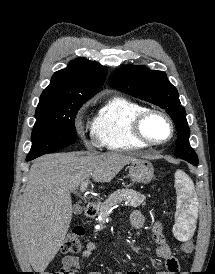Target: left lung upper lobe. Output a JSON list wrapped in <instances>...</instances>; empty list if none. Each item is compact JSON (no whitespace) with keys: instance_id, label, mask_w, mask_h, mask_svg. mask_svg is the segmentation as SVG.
Here are the masks:
<instances>
[{"instance_id":"left-lung-upper-lobe-1","label":"left lung upper lobe","mask_w":215,"mask_h":274,"mask_svg":"<svg viewBox=\"0 0 215 274\" xmlns=\"http://www.w3.org/2000/svg\"><path fill=\"white\" fill-rule=\"evenodd\" d=\"M109 84L112 88L166 109L177 128L175 155L185 161L198 162V157L189 144L190 129L185 109L180 104L178 91L164 72L129 65L117 69L110 76Z\"/></svg>"}]
</instances>
